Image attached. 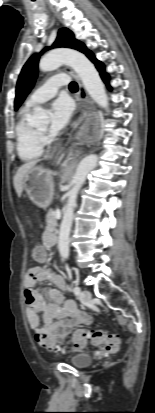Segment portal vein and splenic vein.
I'll return each instance as SVG.
<instances>
[{
  "instance_id": "portal-vein-and-splenic-vein-1",
  "label": "portal vein and splenic vein",
  "mask_w": 155,
  "mask_h": 413,
  "mask_svg": "<svg viewBox=\"0 0 155 413\" xmlns=\"http://www.w3.org/2000/svg\"><path fill=\"white\" fill-rule=\"evenodd\" d=\"M56 216H57V217H59V216H60V214H57ZM57 217H56V218H57Z\"/></svg>"
}]
</instances>
